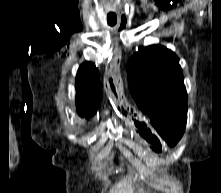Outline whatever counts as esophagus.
<instances>
[{
    "label": "esophagus",
    "mask_w": 221,
    "mask_h": 193,
    "mask_svg": "<svg viewBox=\"0 0 221 193\" xmlns=\"http://www.w3.org/2000/svg\"><path fill=\"white\" fill-rule=\"evenodd\" d=\"M124 23H126V22H125V20L123 19V20H122V24H124Z\"/></svg>",
    "instance_id": "obj_1"
}]
</instances>
